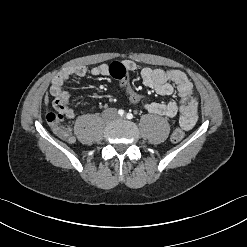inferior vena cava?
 <instances>
[{"mask_svg": "<svg viewBox=\"0 0 247 247\" xmlns=\"http://www.w3.org/2000/svg\"><path fill=\"white\" fill-rule=\"evenodd\" d=\"M109 114L115 115L116 111L113 109H108L104 111V116H109Z\"/></svg>", "mask_w": 247, "mask_h": 247, "instance_id": "602c4592", "label": "inferior vena cava"}]
</instances>
